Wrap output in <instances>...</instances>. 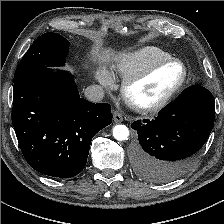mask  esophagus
<instances>
[{"mask_svg": "<svg viewBox=\"0 0 224 224\" xmlns=\"http://www.w3.org/2000/svg\"><path fill=\"white\" fill-rule=\"evenodd\" d=\"M113 118H114V121H115L116 123H119V122H122V121H123V117H122V115H121L119 112H117V111H115V112L113 113Z\"/></svg>", "mask_w": 224, "mask_h": 224, "instance_id": "esophagus-1", "label": "esophagus"}]
</instances>
